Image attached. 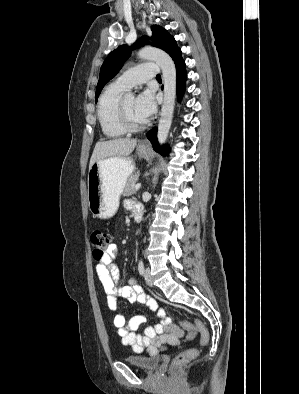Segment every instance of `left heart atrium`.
<instances>
[{"label":"left heart atrium","mask_w":299,"mask_h":394,"mask_svg":"<svg viewBox=\"0 0 299 394\" xmlns=\"http://www.w3.org/2000/svg\"><path fill=\"white\" fill-rule=\"evenodd\" d=\"M156 110V102L151 91H143L135 99V111L138 116L146 121Z\"/></svg>","instance_id":"39dd6f15"}]
</instances>
